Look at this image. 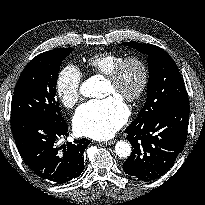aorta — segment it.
Returning <instances> with one entry per match:
<instances>
[{
    "instance_id": "1",
    "label": "aorta",
    "mask_w": 205,
    "mask_h": 205,
    "mask_svg": "<svg viewBox=\"0 0 205 205\" xmlns=\"http://www.w3.org/2000/svg\"><path fill=\"white\" fill-rule=\"evenodd\" d=\"M102 82L97 77H91L80 86V94L85 97H98L102 91ZM131 145L126 141H118L115 153L120 158H127L131 154Z\"/></svg>"
}]
</instances>
